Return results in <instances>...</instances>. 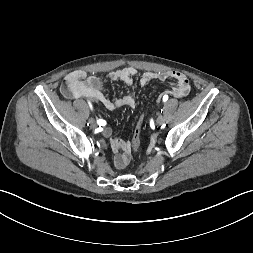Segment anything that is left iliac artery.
<instances>
[{
    "label": "left iliac artery",
    "mask_w": 253,
    "mask_h": 253,
    "mask_svg": "<svg viewBox=\"0 0 253 253\" xmlns=\"http://www.w3.org/2000/svg\"><path fill=\"white\" fill-rule=\"evenodd\" d=\"M163 100H164V101H167V100H168V96H164V97H163Z\"/></svg>",
    "instance_id": "obj_1"
}]
</instances>
